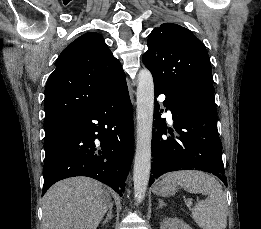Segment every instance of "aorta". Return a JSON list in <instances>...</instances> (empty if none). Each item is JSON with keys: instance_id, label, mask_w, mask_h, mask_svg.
Returning a JSON list of instances; mask_svg holds the SVG:
<instances>
[{"instance_id": "obj_1", "label": "aorta", "mask_w": 261, "mask_h": 229, "mask_svg": "<svg viewBox=\"0 0 261 229\" xmlns=\"http://www.w3.org/2000/svg\"><path fill=\"white\" fill-rule=\"evenodd\" d=\"M137 80V139L133 185L135 199L137 203H142L145 199L151 169L154 82L148 68L139 70Z\"/></svg>"}]
</instances>
